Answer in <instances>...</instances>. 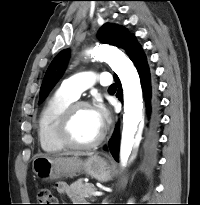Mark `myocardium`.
Listing matches in <instances>:
<instances>
[{
  "instance_id": "obj_1",
  "label": "myocardium",
  "mask_w": 200,
  "mask_h": 205,
  "mask_svg": "<svg viewBox=\"0 0 200 205\" xmlns=\"http://www.w3.org/2000/svg\"><path fill=\"white\" fill-rule=\"evenodd\" d=\"M80 108H90L91 106L87 102L83 101H75L72 102L61 114L58 125H57V136L60 142L67 148L71 149H91L97 147L99 144L102 143L106 136V130L103 127L99 136L91 142L88 143H79L76 142L70 132L71 123L74 118L75 113Z\"/></svg>"
}]
</instances>
